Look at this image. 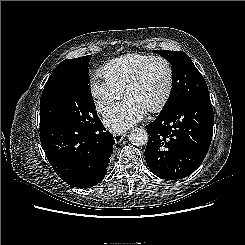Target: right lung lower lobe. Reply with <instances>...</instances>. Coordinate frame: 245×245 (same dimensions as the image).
Masks as SVG:
<instances>
[{
	"mask_svg": "<svg viewBox=\"0 0 245 245\" xmlns=\"http://www.w3.org/2000/svg\"><path fill=\"white\" fill-rule=\"evenodd\" d=\"M40 141L56 174L77 188H89L103 180L115 144L98 117L90 127L40 124Z\"/></svg>",
	"mask_w": 245,
	"mask_h": 245,
	"instance_id": "obj_1",
	"label": "right lung lower lobe"
}]
</instances>
